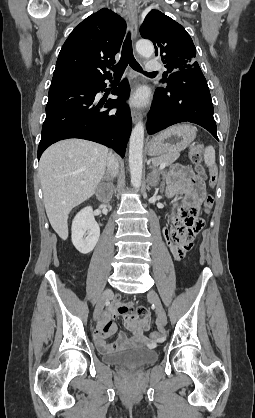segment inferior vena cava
Here are the masks:
<instances>
[{
	"label": "inferior vena cava",
	"mask_w": 255,
	"mask_h": 418,
	"mask_svg": "<svg viewBox=\"0 0 255 418\" xmlns=\"http://www.w3.org/2000/svg\"><path fill=\"white\" fill-rule=\"evenodd\" d=\"M119 163L117 158L111 152L107 157V169L112 177H115L118 173Z\"/></svg>",
	"instance_id": "602c4592"
}]
</instances>
